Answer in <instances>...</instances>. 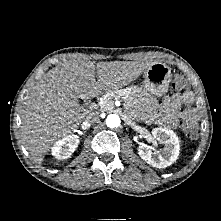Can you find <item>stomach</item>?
<instances>
[{
    "label": "stomach",
    "mask_w": 221,
    "mask_h": 221,
    "mask_svg": "<svg viewBox=\"0 0 221 221\" xmlns=\"http://www.w3.org/2000/svg\"><path fill=\"white\" fill-rule=\"evenodd\" d=\"M171 77V69L167 65L161 62L152 63L144 72V80L138 92L159 98L167 93Z\"/></svg>",
    "instance_id": "stomach-1"
}]
</instances>
